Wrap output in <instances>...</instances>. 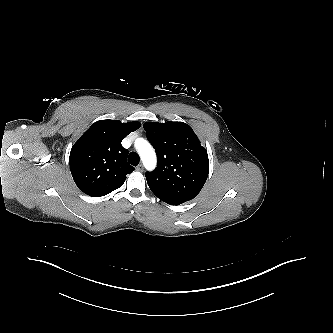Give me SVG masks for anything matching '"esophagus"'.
<instances>
[{
	"label": "esophagus",
	"mask_w": 333,
	"mask_h": 333,
	"mask_svg": "<svg viewBox=\"0 0 333 333\" xmlns=\"http://www.w3.org/2000/svg\"><path fill=\"white\" fill-rule=\"evenodd\" d=\"M136 170L142 172V171H143V165H142V164H139V165L136 167Z\"/></svg>",
	"instance_id": "esophagus-1"
}]
</instances>
